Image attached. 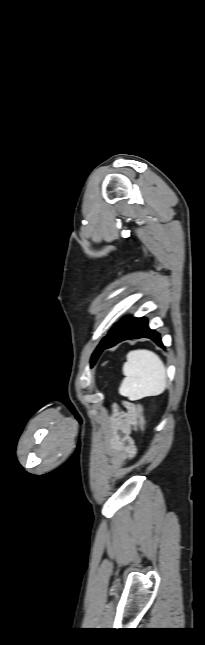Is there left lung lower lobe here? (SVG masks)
Here are the masks:
<instances>
[{
    "instance_id": "obj_1",
    "label": "left lung lower lobe",
    "mask_w": 205,
    "mask_h": 645,
    "mask_svg": "<svg viewBox=\"0 0 205 645\" xmlns=\"http://www.w3.org/2000/svg\"><path fill=\"white\" fill-rule=\"evenodd\" d=\"M137 338H150L159 346L163 347L159 333L148 327V321L146 318L126 316L115 324V326L109 331L108 335L103 338L99 345L98 354L91 364L93 365L96 362L104 349L113 347L123 340Z\"/></svg>"
}]
</instances>
